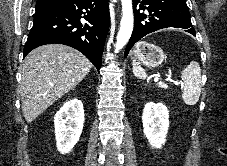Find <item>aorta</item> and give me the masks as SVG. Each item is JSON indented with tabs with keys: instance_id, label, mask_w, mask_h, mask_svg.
Instances as JSON below:
<instances>
[{
	"instance_id": "762f6f07",
	"label": "aorta",
	"mask_w": 227,
	"mask_h": 166,
	"mask_svg": "<svg viewBox=\"0 0 227 166\" xmlns=\"http://www.w3.org/2000/svg\"><path fill=\"white\" fill-rule=\"evenodd\" d=\"M122 4V18L120 23V30L117 35L115 44V52L122 49L129 41L133 31V9L132 0H121Z\"/></svg>"
}]
</instances>
